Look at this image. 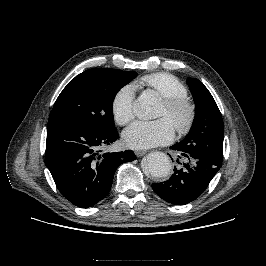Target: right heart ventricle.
I'll use <instances>...</instances> for the list:
<instances>
[{
	"label": "right heart ventricle",
	"instance_id": "1",
	"mask_svg": "<svg viewBox=\"0 0 266 266\" xmlns=\"http://www.w3.org/2000/svg\"><path fill=\"white\" fill-rule=\"evenodd\" d=\"M136 85L146 86L162 98L187 95L186 86L174 75L164 72L145 75L136 82Z\"/></svg>",
	"mask_w": 266,
	"mask_h": 266
}]
</instances>
